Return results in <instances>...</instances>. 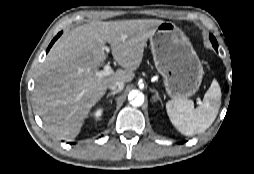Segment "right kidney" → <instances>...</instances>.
<instances>
[{
  "label": "right kidney",
  "mask_w": 254,
  "mask_h": 174,
  "mask_svg": "<svg viewBox=\"0 0 254 174\" xmlns=\"http://www.w3.org/2000/svg\"><path fill=\"white\" fill-rule=\"evenodd\" d=\"M102 113H103V109H102V108H98V109L93 113V115H94V117H95L96 119H98V118L102 115Z\"/></svg>",
  "instance_id": "ca27d5eb"
}]
</instances>
